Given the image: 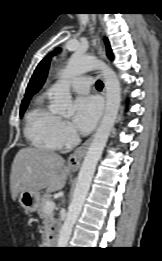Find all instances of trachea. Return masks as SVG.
I'll return each instance as SVG.
<instances>
[{
	"label": "trachea",
	"instance_id": "3493384b",
	"mask_svg": "<svg viewBox=\"0 0 162 261\" xmlns=\"http://www.w3.org/2000/svg\"><path fill=\"white\" fill-rule=\"evenodd\" d=\"M96 88H97V89H100V90L103 88V83H102V81H100V80L97 81V83H96Z\"/></svg>",
	"mask_w": 162,
	"mask_h": 261
}]
</instances>
